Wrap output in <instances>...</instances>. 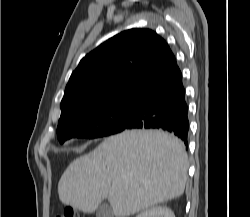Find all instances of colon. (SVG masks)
I'll list each match as a JSON object with an SVG mask.
<instances>
[{"instance_id": "1", "label": "colon", "mask_w": 250, "mask_h": 217, "mask_svg": "<svg viewBox=\"0 0 250 217\" xmlns=\"http://www.w3.org/2000/svg\"><path fill=\"white\" fill-rule=\"evenodd\" d=\"M57 217H79V215L73 209H66L62 215Z\"/></svg>"}]
</instances>
